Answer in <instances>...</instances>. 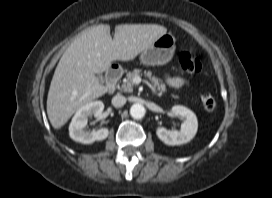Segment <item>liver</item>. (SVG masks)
Here are the masks:
<instances>
[{"label":"liver","mask_w":272,"mask_h":198,"mask_svg":"<svg viewBox=\"0 0 272 198\" xmlns=\"http://www.w3.org/2000/svg\"><path fill=\"white\" fill-rule=\"evenodd\" d=\"M167 33L157 24H99L85 31L62 55L52 78L47 114L55 129L61 128L80 107L104 95L108 89L95 74L109 68L112 61H130Z\"/></svg>","instance_id":"6515ba94"}]
</instances>
